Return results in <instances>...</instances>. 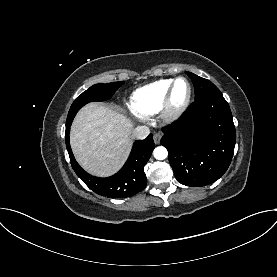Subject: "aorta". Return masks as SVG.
<instances>
[{"instance_id":"762f6f07","label":"aorta","mask_w":277,"mask_h":277,"mask_svg":"<svg viewBox=\"0 0 277 277\" xmlns=\"http://www.w3.org/2000/svg\"><path fill=\"white\" fill-rule=\"evenodd\" d=\"M153 154L157 160H164L168 156V151L165 147L159 146L154 149Z\"/></svg>"}]
</instances>
